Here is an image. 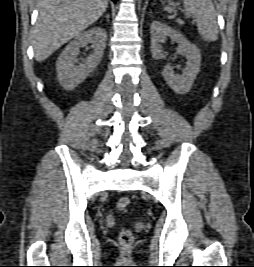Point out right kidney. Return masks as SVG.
<instances>
[{
	"instance_id": "ca27d5eb",
	"label": "right kidney",
	"mask_w": 254,
	"mask_h": 267,
	"mask_svg": "<svg viewBox=\"0 0 254 267\" xmlns=\"http://www.w3.org/2000/svg\"><path fill=\"white\" fill-rule=\"evenodd\" d=\"M107 33L102 27L91 28L79 34L62 51L56 62L57 78L66 90L74 89L101 62L106 46ZM91 44L94 52L83 63L75 65L80 48Z\"/></svg>"
}]
</instances>
